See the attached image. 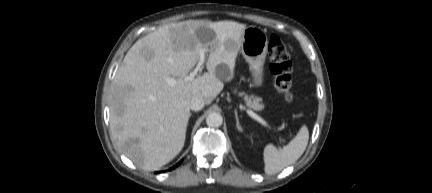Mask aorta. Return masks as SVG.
Wrapping results in <instances>:
<instances>
[{"instance_id": "aorta-1", "label": "aorta", "mask_w": 432, "mask_h": 193, "mask_svg": "<svg viewBox=\"0 0 432 193\" xmlns=\"http://www.w3.org/2000/svg\"><path fill=\"white\" fill-rule=\"evenodd\" d=\"M223 123V118L220 113L217 112H211L206 117V124L209 127L217 128L220 127Z\"/></svg>"}]
</instances>
